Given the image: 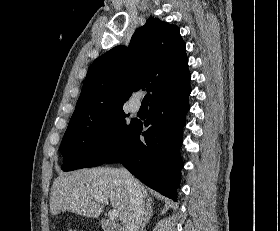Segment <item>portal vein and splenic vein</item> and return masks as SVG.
I'll list each match as a JSON object with an SVG mask.
<instances>
[{
    "label": "portal vein and splenic vein",
    "instance_id": "obj_1",
    "mask_svg": "<svg viewBox=\"0 0 280 231\" xmlns=\"http://www.w3.org/2000/svg\"><path fill=\"white\" fill-rule=\"evenodd\" d=\"M97 201H101V203H109L106 197H102V199H97ZM118 215L119 213L117 209H110V211H108V217L109 219H112V221H114V219H117Z\"/></svg>",
    "mask_w": 280,
    "mask_h": 231
}]
</instances>
